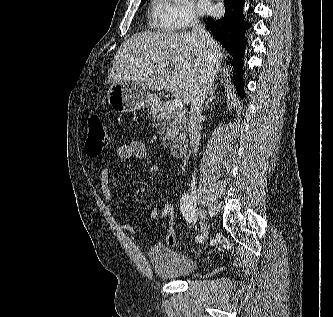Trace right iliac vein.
I'll return each instance as SVG.
<instances>
[{
	"instance_id": "obj_1",
	"label": "right iliac vein",
	"mask_w": 333,
	"mask_h": 317,
	"mask_svg": "<svg viewBox=\"0 0 333 317\" xmlns=\"http://www.w3.org/2000/svg\"><path fill=\"white\" fill-rule=\"evenodd\" d=\"M192 198H193V201H196V193L195 192H193L192 193ZM199 215H200V217H201V219H202V221H201V237H202V242L204 241V240H206L207 238H208V234H209V232H208V225L206 224V222L204 221V219H203V217H204V212L202 211V210H200L199 209Z\"/></svg>"
}]
</instances>
